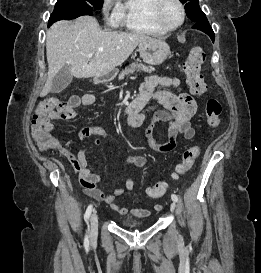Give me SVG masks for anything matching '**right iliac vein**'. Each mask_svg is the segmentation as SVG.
Returning <instances> with one entry per match:
<instances>
[{"instance_id":"63e3f726","label":"right iliac vein","mask_w":261,"mask_h":273,"mask_svg":"<svg viewBox=\"0 0 261 273\" xmlns=\"http://www.w3.org/2000/svg\"><path fill=\"white\" fill-rule=\"evenodd\" d=\"M91 228H90V237L94 239L97 235L98 231V215L96 211L93 212L90 220Z\"/></svg>"}]
</instances>
